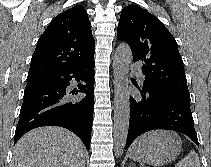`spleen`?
Instances as JSON below:
<instances>
[{
	"mask_svg": "<svg viewBox=\"0 0 211 167\" xmlns=\"http://www.w3.org/2000/svg\"><path fill=\"white\" fill-rule=\"evenodd\" d=\"M176 167H201L198 154L191 150L188 155L176 164Z\"/></svg>",
	"mask_w": 211,
	"mask_h": 167,
	"instance_id": "3e777b00",
	"label": "spleen"
}]
</instances>
